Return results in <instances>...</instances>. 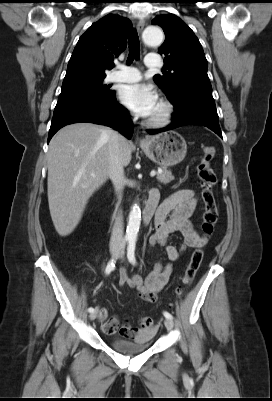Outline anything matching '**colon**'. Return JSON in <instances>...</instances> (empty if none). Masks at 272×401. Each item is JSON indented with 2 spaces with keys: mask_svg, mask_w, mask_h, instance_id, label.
<instances>
[{
  "mask_svg": "<svg viewBox=\"0 0 272 401\" xmlns=\"http://www.w3.org/2000/svg\"><path fill=\"white\" fill-rule=\"evenodd\" d=\"M215 156V149L212 146H204L200 161L197 164V175L201 181V199L203 203L202 232L205 238L211 236L218 219L217 203L215 198V187L218 179L215 171L211 167V162ZM203 250L198 247L191 255L185 274L182 277L183 287H188L200 267L203 259ZM182 290L180 291V293ZM142 322L152 323L149 317L143 318Z\"/></svg>",
  "mask_w": 272,
  "mask_h": 401,
  "instance_id": "colon-1",
  "label": "colon"
}]
</instances>
